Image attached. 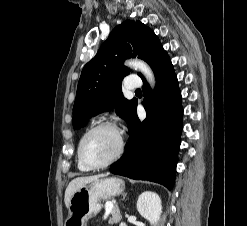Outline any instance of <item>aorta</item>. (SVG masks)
Instances as JSON below:
<instances>
[{
	"instance_id": "obj_1",
	"label": "aorta",
	"mask_w": 247,
	"mask_h": 226,
	"mask_svg": "<svg viewBox=\"0 0 247 226\" xmlns=\"http://www.w3.org/2000/svg\"><path fill=\"white\" fill-rule=\"evenodd\" d=\"M126 66L138 69L148 80L150 85L153 87L155 85V77L151 68L141 60H128L126 61Z\"/></svg>"
}]
</instances>
